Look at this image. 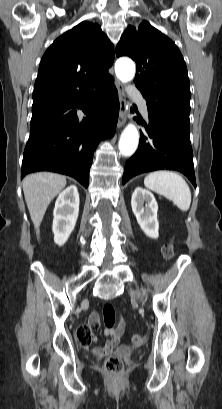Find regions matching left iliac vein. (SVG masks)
<instances>
[{"instance_id":"4c4485c4","label":"left iliac vein","mask_w":222,"mask_h":409,"mask_svg":"<svg viewBox=\"0 0 222 409\" xmlns=\"http://www.w3.org/2000/svg\"><path fill=\"white\" fill-rule=\"evenodd\" d=\"M129 292H130V295L133 298H139L140 297V293L138 291H136V290L131 289Z\"/></svg>"}]
</instances>
